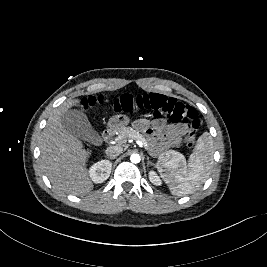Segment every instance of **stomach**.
Segmentation results:
<instances>
[{
  "instance_id": "1",
  "label": "stomach",
  "mask_w": 267,
  "mask_h": 267,
  "mask_svg": "<svg viewBox=\"0 0 267 267\" xmlns=\"http://www.w3.org/2000/svg\"><path fill=\"white\" fill-rule=\"evenodd\" d=\"M130 122V117L125 114L115 115L108 121V126L111 129L120 130Z\"/></svg>"
}]
</instances>
